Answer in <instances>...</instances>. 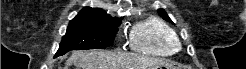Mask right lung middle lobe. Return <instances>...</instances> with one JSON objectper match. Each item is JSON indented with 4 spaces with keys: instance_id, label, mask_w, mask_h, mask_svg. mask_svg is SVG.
Listing matches in <instances>:
<instances>
[{
    "instance_id": "obj_1",
    "label": "right lung middle lobe",
    "mask_w": 246,
    "mask_h": 69,
    "mask_svg": "<svg viewBox=\"0 0 246 69\" xmlns=\"http://www.w3.org/2000/svg\"><path fill=\"white\" fill-rule=\"evenodd\" d=\"M120 21H70L55 56L70 50L106 49L112 46Z\"/></svg>"
}]
</instances>
